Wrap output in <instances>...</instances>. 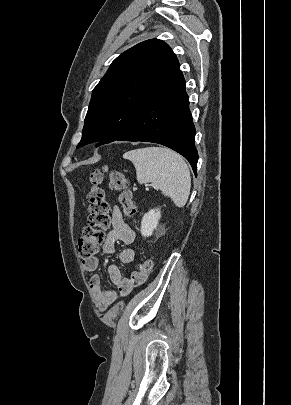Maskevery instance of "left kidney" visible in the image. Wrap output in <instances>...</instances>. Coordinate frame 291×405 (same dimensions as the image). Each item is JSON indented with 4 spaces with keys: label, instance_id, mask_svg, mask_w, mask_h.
<instances>
[{
    "label": "left kidney",
    "instance_id": "obj_1",
    "mask_svg": "<svg viewBox=\"0 0 291 405\" xmlns=\"http://www.w3.org/2000/svg\"><path fill=\"white\" fill-rule=\"evenodd\" d=\"M161 218V211L159 208L152 209L147 212L141 221V234L144 237L152 235L153 231L157 228L158 222Z\"/></svg>",
    "mask_w": 291,
    "mask_h": 405
}]
</instances>
